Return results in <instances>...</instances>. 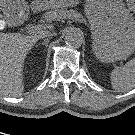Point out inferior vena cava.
<instances>
[{
    "mask_svg": "<svg viewBox=\"0 0 135 135\" xmlns=\"http://www.w3.org/2000/svg\"><path fill=\"white\" fill-rule=\"evenodd\" d=\"M56 35V33L55 32H50V31H42V32H40V34H39V37L40 38H45V37H52V36H55Z\"/></svg>",
    "mask_w": 135,
    "mask_h": 135,
    "instance_id": "inferior-vena-cava-1",
    "label": "inferior vena cava"
}]
</instances>
